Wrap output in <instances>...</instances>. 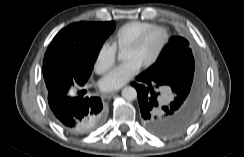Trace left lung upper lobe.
I'll return each instance as SVG.
<instances>
[{
    "instance_id": "5c2ea615",
    "label": "left lung upper lobe",
    "mask_w": 244,
    "mask_h": 157,
    "mask_svg": "<svg viewBox=\"0 0 244 157\" xmlns=\"http://www.w3.org/2000/svg\"><path fill=\"white\" fill-rule=\"evenodd\" d=\"M143 73L161 78L175 94L201 101L203 80L189 42L183 37H172L157 61Z\"/></svg>"
}]
</instances>
